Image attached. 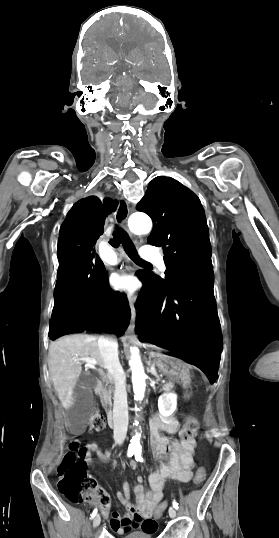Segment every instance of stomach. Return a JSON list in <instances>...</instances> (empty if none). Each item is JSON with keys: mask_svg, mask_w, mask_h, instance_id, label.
<instances>
[{"mask_svg": "<svg viewBox=\"0 0 279 538\" xmlns=\"http://www.w3.org/2000/svg\"><path fill=\"white\" fill-rule=\"evenodd\" d=\"M153 358V364L158 366L160 374H167L170 376L172 382H186L190 365L185 363L184 358H178L177 353H156L151 354ZM189 389V386H186ZM185 398L190 400L193 398V393L188 391L185 393Z\"/></svg>", "mask_w": 279, "mask_h": 538, "instance_id": "stomach-1", "label": "stomach"}]
</instances>
